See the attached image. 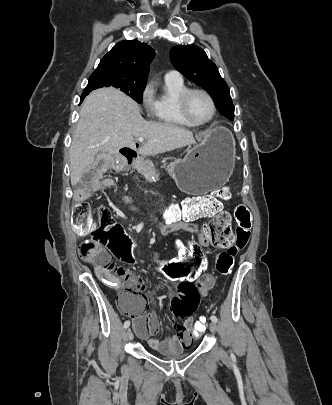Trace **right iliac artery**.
Here are the masks:
<instances>
[{
  "label": "right iliac artery",
  "mask_w": 332,
  "mask_h": 405,
  "mask_svg": "<svg viewBox=\"0 0 332 405\" xmlns=\"http://www.w3.org/2000/svg\"><path fill=\"white\" fill-rule=\"evenodd\" d=\"M129 326H130V321L129 320L125 321L124 328L127 329Z\"/></svg>",
  "instance_id": "1"
}]
</instances>
